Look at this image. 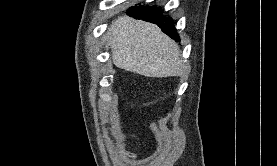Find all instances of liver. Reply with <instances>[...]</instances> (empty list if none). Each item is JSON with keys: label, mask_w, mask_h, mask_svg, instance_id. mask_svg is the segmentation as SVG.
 <instances>
[{"label": "liver", "mask_w": 277, "mask_h": 166, "mask_svg": "<svg viewBox=\"0 0 277 166\" xmlns=\"http://www.w3.org/2000/svg\"><path fill=\"white\" fill-rule=\"evenodd\" d=\"M107 37L114 64L146 77H169L184 71L178 45L156 25L118 17Z\"/></svg>", "instance_id": "obj_1"}]
</instances>
